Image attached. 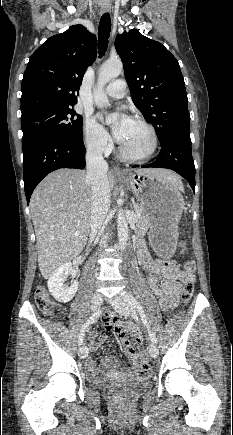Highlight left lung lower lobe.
Wrapping results in <instances>:
<instances>
[{
	"label": "left lung lower lobe",
	"instance_id": "1",
	"mask_svg": "<svg viewBox=\"0 0 233 435\" xmlns=\"http://www.w3.org/2000/svg\"><path fill=\"white\" fill-rule=\"evenodd\" d=\"M161 151L155 162L143 167L168 168L184 177L195 190V166L191 151L190 131L181 132L160 143Z\"/></svg>",
	"mask_w": 233,
	"mask_h": 435
}]
</instances>
